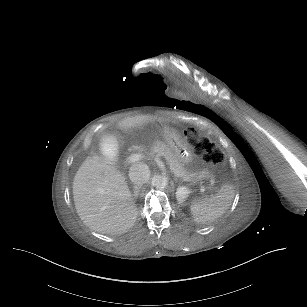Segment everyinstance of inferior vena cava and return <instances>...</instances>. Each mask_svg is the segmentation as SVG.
I'll list each match as a JSON object with an SVG mask.
<instances>
[{
    "mask_svg": "<svg viewBox=\"0 0 307 307\" xmlns=\"http://www.w3.org/2000/svg\"><path fill=\"white\" fill-rule=\"evenodd\" d=\"M129 178L137 186H142L150 179L149 167L143 163L132 165L129 170Z\"/></svg>",
    "mask_w": 307,
    "mask_h": 307,
    "instance_id": "1",
    "label": "inferior vena cava"
}]
</instances>
